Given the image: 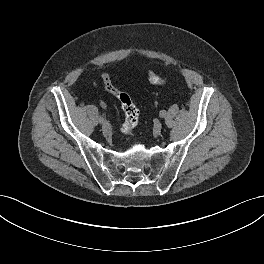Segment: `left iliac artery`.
<instances>
[{"instance_id":"left-iliac-artery-1","label":"left iliac artery","mask_w":264,"mask_h":264,"mask_svg":"<svg viewBox=\"0 0 264 264\" xmlns=\"http://www.w3.org/2000/svg\"><path fill=\"white\" fill-rule=\"evenodd\" d=\"M165 115H166V111H164V110L160 111L159 116L161 118L165 117Z\"/></svg>"}]
</instances>
